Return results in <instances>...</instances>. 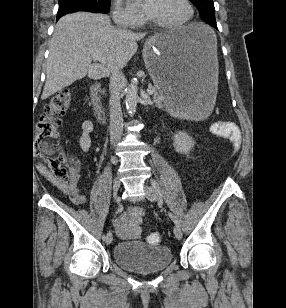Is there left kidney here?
<instances>
[{"label": "left kidney", "mask_w": 286, "mask_h": 308, "mask_svg": "<svg viewBox=\"0 0 286 308\" xmlns=\"http://www.w3.org/2000/svg\"><path fill=\"white\" fill-rule=\"evenodd\" d=\"M194 140L188 133L179 131L174 135L173 146L176 152L181 154H189L194 147Z\"/></svg>", "instance_id": "5707ae66"}]
</instances>
